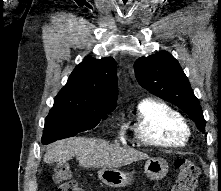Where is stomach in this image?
Segmentation results:
<instances>
[{
	"mask_svg": "<svg viewBox=\"0 0 221 191\" xmlns=\"http://www.w3.org/2000/svg\"><path fill=\"white\" fill-rule=\"evenodd\" d=\"M144 172L151 180H160L168 172V164L161 158H150L146 161ZM99 179L107 186L118 188L131 185L134 180V173H125L116 168H103L98 171Z\"/></svg>",
	"mask_w": 221,
	"mask_h": 191,
	"instance_id": "1",
	"label": "stomach"
}]
</instances>
